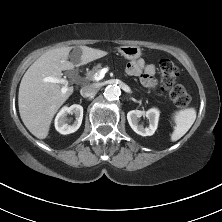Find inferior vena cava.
Returning <instances> with one entry per match:
<instances>
[{"label":"inferior vena cava","instance_id":"602c4592","mask_svg":"<svg viewBox=\"0 0 222 222\" xmlns=\"http://www.w3.org/2000/svg\"><path fill=\"white\" fill-rule=\"evenodd\" d=\"M97 92H98V86L96 84L85 85L80 90V94L83 97L94 96Z\"/></svg>","mask_w":222,"mask_h":222}]
</instances>
